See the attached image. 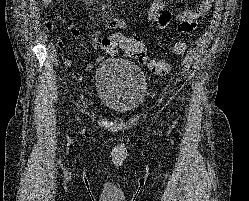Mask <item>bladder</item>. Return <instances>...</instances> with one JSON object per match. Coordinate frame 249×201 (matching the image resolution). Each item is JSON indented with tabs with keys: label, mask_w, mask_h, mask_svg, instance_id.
I'll return each instance as SVG.
<instances>
[{
	"label": "bladder",
	"mask_w": 249,
	"mask_h": 201,
	"mask_svg": "<svg viewBox=\"0 0 249 201\" xmlns=\"http://www.w3.org/2000/svg\"><path fill=\"white\" fill-rule=\"evenodd\" d=\"M95 77L99 102L117 114H130L143 104L146 76L131 60L106 58L99 64Z\"/></svg>",
	"instance_id": "bladder-1"
}]
</instances>
